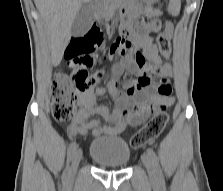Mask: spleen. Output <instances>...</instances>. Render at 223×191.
<instances>
[{
    "instance_id": "spleen-1",
    "label": "spleen",
    "mask_w": 223,
    "mask_h": 191,
    "mask_svg": "<svg viewBox=\"0 0 223 191\" xmlns=\"http://www.w3.org/2000/svg\"><path fill=\"white\" fill-rule=\"evenodd\" d=\"M181 2L180 0H170L169 2V12L172 15H178L180 12Z\"/></svg>"
}]
</instances>
